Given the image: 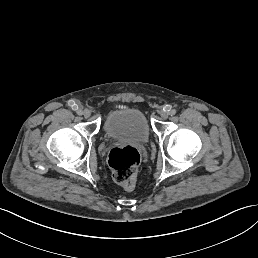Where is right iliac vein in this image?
Masks as SVG:
<instances>
[{
  "label": "right iliac vein",
  "mask_w": 258,
  "mask_h": 258,
  "mask_svg": "<svg viewBox=\"0 0 258 258\" xmlns=\"http://www.w3.org/2000/svg\"><path fill=\"white\" fill-rule=\"evenodd\" d=\"M82 114H83L84 117L87 118V117H90V116H91V111L86 109V110H83V113H82Z\"/></svg>",
  "instance_id": "right-iliac-vein-1"
}]
</instances>
